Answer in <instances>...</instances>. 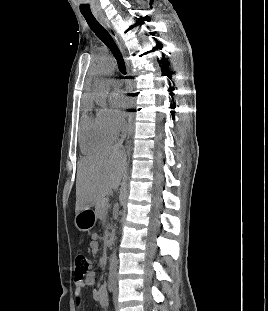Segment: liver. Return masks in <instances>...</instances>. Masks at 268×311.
I'll list each match as a JSON object with an SVG mask.
<instances>
[{
    "label": "liver",
    "mask_w": 268,
    "mask_h": 311,
    "mask_svg": "<svg viewBox=\"0 0 268 311\" xmlns=\"http://www.w3.org/2000/svg\"><path fill=\"white\" fill-rule=\"evenodd\" d=\"M125 162V156L117 146L79 161L76 179V213L92 206L112 189L119 187Z\"/></svg>",
    "instance_id": "obj_1"
}]
</instances>
